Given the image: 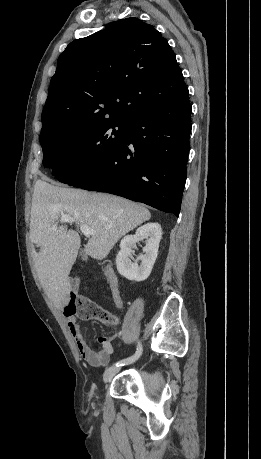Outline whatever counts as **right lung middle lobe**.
<instances>
[{"label": "right lung middle lobe", "mask_w": 261, "mask_h": 459, "mask_svg": "<svg viewBox=\"0 0 261 459\" xmlns=\"http://www.w3.org/2000/svg\"><path fill=\"white\" fill-rule=\"evenodd\" d=\"M130 121L107 120L89 127H64L41 133L43 164L56 178L72 183L110 158L125 142Z\"/></svg>", "instance_id": "obj_1"}]
</instances>
